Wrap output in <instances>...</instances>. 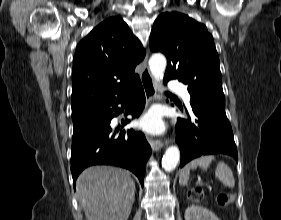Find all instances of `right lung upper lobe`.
<instances>
[{
	"instance_id": "1",
	"label": "right lung upper lobe",
	"mask_w": 281,
	"mask_h": 220,
	"mask_svg": "<svg viewBox=\"0 0 281 220\" xmlns=\"http://www.w3.org/2000/svg\"><path fill=\"white\" fill-rule=\"evenodd\" d=\"M145 50L120 17L95 27L73 59L72 119L127 94L140 81L135 67Z\"/></svg>"
}]
</instances>
